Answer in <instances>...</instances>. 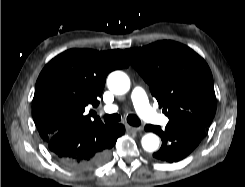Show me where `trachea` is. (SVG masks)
Segmentation results:
<instances>
[{
	"instance_id": "1",
	"label": "trachea",
	"mask_w": 245,
	"mask_h": 187,
	"mask_svg": "<svg viewBox=\"0 0 245 187\" xmlns=\"http://www.w3.org/2000/svg\"><path fill=\"white\" fill-rule=\"evenodd\" d=\"M103 119L106 124H113L119 122L121 120V117L118 114H111V115L106 114L103 116ZM127 122L132 126L141 125L140 119L134 114H129L127 116Z\"/></svg>"
}]
</instances>
